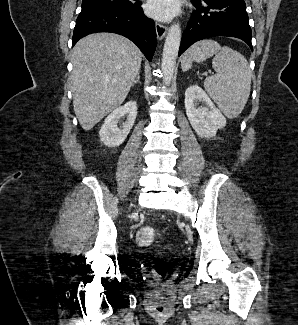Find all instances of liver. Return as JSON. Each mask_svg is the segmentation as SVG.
<instances>
[{
    "label": "liver",
    "mask_w": 298,
    "mask_h": 325,
    "mask_svg": "<svg viewBox=\"0 0 298 325\" xmlns=\"http://www.w3.org/2000/svg\"><path fill=\"white\" fill-rule=\"evenodd\" d=\"M142 52L120 34L97 32L72 50L75 114L84 130L93 128L124 102L141 68Z\"/></svg>",
    "instance_id": "6515ba94"
}]
</instances>
